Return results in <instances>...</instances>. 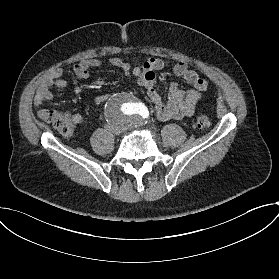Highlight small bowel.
Masks as SVG:
<instances>
[{
	"label": "small bowel",
	"instance_id": "c3829d8e",
	"mask_svg": "<svg viewBox=\"0 0 279 279\" xmlns=\"http://www.w3.org/2000/svg\"><path fill=\"white\" fill-rule=\"evenodd\" d=\"M108 64L120 69L126 79H137L138 83L146 90L154 107L157 119L161 121L179 119L192 115L197 102L204 97V93L208 87V82L201 78L196 70L190 68L185 62H179L173 67V73L185 79L192 87L183 91L177 85L171 84L168 89V98L164 101L155 89V73L162 70L165 66L161 58H149L140 67H131L128 62L114 56L108 59ZM102 65L103 62L99 59L85 58L74 66L73 72L78 80H84L89 76L90 69L99 68ZM62 74L63 70L56 68L42 80L34 98L36 108H42L46 103L53 101L54 95L51 91L53 87L65 89L69 86V82L61 77ZM105 100V95L97 96L94 99L95 107L99 108ZM71 120L75 125H81L84 122L83 116L78 113L72 114Z\"/></svg>",
	"mask_w": 279,
	"mask_h": 279
}]
</instances>
